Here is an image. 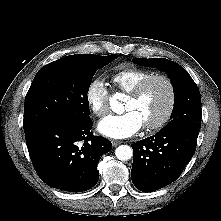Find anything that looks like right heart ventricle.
I'll return each instance as SVG.
<instances>
[{"label":"right heart ventricle","instance_id":"1","mask_svg":"<svg viewBox=\"0 0 221 221\" xmlns=\"http://www.w3.org/2000/svg\"><path fill=\"white\" fill-rule=\"evenodd\" d=\"M153 74L151 71L135 66H127L112 75V83L117 90L129 93L144 78Z\"/></svg>","mask_w":221,"mask_h":221}]
</instances>
